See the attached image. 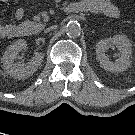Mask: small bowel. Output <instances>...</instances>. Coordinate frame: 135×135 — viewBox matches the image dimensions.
<instances>
[{
  "mask_svg": "<svg viewBox=\"0 0 135 135\" xmlns=\"http://www.w3.org/2000/svg\"><path fill=\"white\" fill-rule=\"evenodd\" d=\"M6 2L8 0H1ZM83 7L93 13H101L110 18L119 16L117 6L111 0H88ZM25 10L19 7L15 12L16 20H21L24 17ZM19 27L13 23H3L0 21V38H9L19 34Z\"/></svg>",
  "mask_w": 135,
  "mask_h": 135,
  "instance_id": "c3829d8e",
  "label": "small bowel"
}]
</instances>
